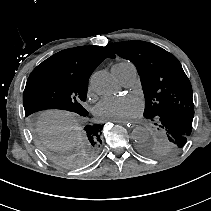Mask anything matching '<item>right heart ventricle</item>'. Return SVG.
Wrapping results in <instances>:
<instances>
[{
    "label": "right heart ventricle",
    "instance_id": "right-heart-ventricle-1",
    "mask_svg": "<svg viewBox=\"0 0 211 211\" xmlns=\"http://www.w3.org/2000/svg\"><path fill=\"white\" fill-rule=\"evenodd\" d=\"M115 65H117L119 69H126L128 67L134 66L130 61L127 60L119 61Z\"/></svg>",
    "mask_w": 211,
    "mask_h": 211
}]
</instances>
